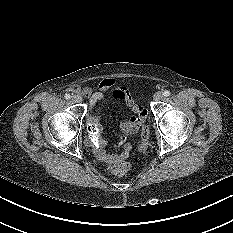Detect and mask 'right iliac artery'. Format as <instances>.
I'll list each match as a JSON object with an SVG mask.
<instances>
[{"instance_id": "82829eb1", "label": "right iliac artery", "mask_w": 233, "mask_h": 233, "mask_svg": "<svg viewBox=\"0 0 233 233\" xmlns=\"http://www.w3.org/2000/svg\"><path fill=\"white\" fill-rule=\"evenodd\" d=\"M64 97H65V99H67V100L71 98L70 94H65Z\"/></svg>"}]
</instances>
